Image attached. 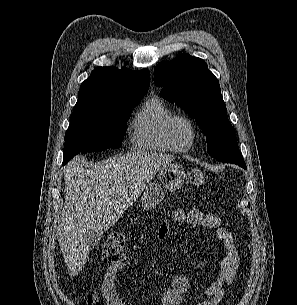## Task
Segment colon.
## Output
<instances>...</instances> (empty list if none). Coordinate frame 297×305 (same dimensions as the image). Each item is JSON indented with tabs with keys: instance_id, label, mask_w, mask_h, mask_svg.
Listing matches in <instances>:
<instances>
[{
	"instance_id": "colon-1",
	"label": "colon",
	"mask_w": 297,
	"mask_h": 305,
	"mask_svg": "<svg viewBox=\"0 0 297 305\" xmlns=\"http://www.w3.org/2000/svg\"><path fill=\"white\" fill-rule=\"evenodd\" d=\"M189 181L195 187H201L205 184L204 172L195 168L189 173ZM126 234L123 230H114L104 243L102 256L103 261L107 265L116 264L126 259Z\"/></svg>"
}]
</instances>
